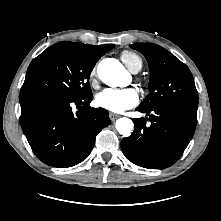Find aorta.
I'll list each match as a JSON object with an SVG mask.
<instances>
[{"label":"aorta","mask_w":221,"mask_h":221,"mask_svg":"<svg viewBox=\"0 0 221 221\" xmlns=\"http://www.w3.org/2000/svg\"><path fill=\"white\" fill-rule=\"evenodd\" d=\"M99 78L107 85L116 87L120 86L123 77L127 71L124 67L114 59L102 60L97 68ZM133 122L131 119L122 117L116 121V129L123 136H129L133 130Z\"/></svg>","instance_id":"1"}]
</instances>
